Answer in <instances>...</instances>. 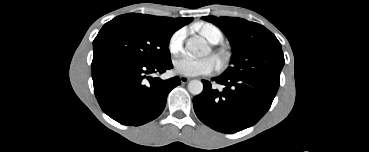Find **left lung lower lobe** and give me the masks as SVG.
Returning <instances> with one entry per match:
<instances>
[{
	"label": "left lung lower lobe",
	"mask_w": 369,
	"mask_h": 152,
	"mask_svg": "<svg viewBox=\"0 0 369 152\" xmlns=\"http://www.w3.org/2000/svg\"><path fill=\"white\" fill-rule=\"evenodd\" d=\"M224 86L222 91L202 80L204 89L193 99L197 117L223 133H235L256 124L268 111L280 85L279 80L221 75L211 79Z\"/></svg>",
	"instance_id": "left-lung-lower-lobe-1"
}]
</instances>
